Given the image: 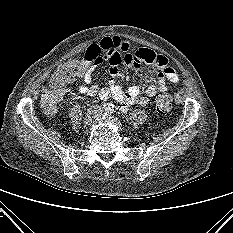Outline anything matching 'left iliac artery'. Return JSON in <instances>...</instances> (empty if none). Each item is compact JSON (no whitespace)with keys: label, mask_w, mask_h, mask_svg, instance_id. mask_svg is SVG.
<instances>
[{"label":"left iliac artery","mask_w":233,"mask_h":233,"mask_svg":"<svg viewBox=\"0 0 233 233\" xmlns=\"http://www.w3.org/2000/svg\"><path fill=\"white\" fill-rule=\"evenodd\" d=\"M113 111H114V109H113V107H111L110 110L105 113V115L106 116H111V114L113 113Z\"/></svg>","instance_id":"obj_1"}]
</instances>
